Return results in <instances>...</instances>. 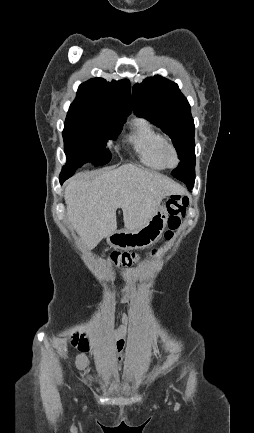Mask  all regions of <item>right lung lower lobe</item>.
<instances>
[{
    "instance_id": "right-lung-lower-lobe-1",
    "label": "right lung lower lobe",
    "mask_w": 254,
    "mask_h": 433,
    "mask_svg": "<svg viewBox=\"0 0 254 433\" xmlns=\"http://www.w3.org/2000/svg\"><path fill=\"white\" fill-rule=\"evenodd\" d=\"M75 171V169L63 168L59 177L60 183L63 184V182L69 177H71L75 173Z\"/></svg>"
}]
</instances>
